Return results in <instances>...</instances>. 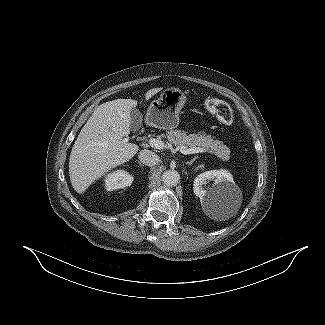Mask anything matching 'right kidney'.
Here are the masks:
<instances>
[{
  "instance_id": "right-kidney-1",
  "label": "right kidney",
  "mask_w": 325,
  "mask_h": 325,
  "mask_svg": "<svg viewBox=\"0 0 325 325\" xmlns=\"http://www.w3.org/2000/svg\"><path fill=\"white\" fill-rule=\"evenodd\" d=\"M133 180L134 177L129 172L120 169L106 175L104 184L107 191H113L130 186Z\"/></svg>"
}]
</instances>
